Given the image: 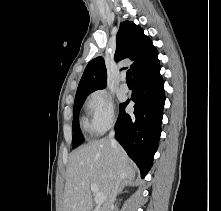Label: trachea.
Listing matches in <instances>:
<instances>
[{"instance_id": "obj_1", "label": "trachea", "mask_w": 221, "mask_h": 211, "mask_svg": "<svg viewBox=\"0 0 221 211\" xmlns=\"http://www.w3.org/2000/svg\"><path fill=\"white\" fill-rule=\"evenodd\" d=\"M126 81L127 82H132L133 81L132 80V73H131L130 70H128L127 73H126Z\"/></svg>"}]
</instances>
